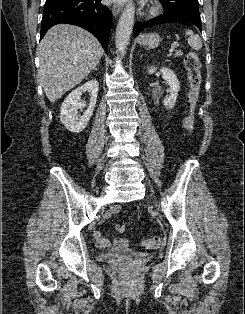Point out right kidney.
<instances>
[{"label":"right kidney","mask_w":245,"mask_h":314,"mask_svg":"<svg viewBox=\"0 0 245 314\" xmlns=\"http://www.w3.org/2000/svg\"><path fill=\"white\" fill-rule=\"evenodd\" d=\"M98 90L99 83L94 79L81 85L65 98L61 105L60 120L67 130L80 133L86 128L96 105ZM85 91L91 96L90 103L83 115L79 116L78 109L86 106L81 102V95Z\"/></svg>","instance_id":"ca27d5eb"}]
</instances>
